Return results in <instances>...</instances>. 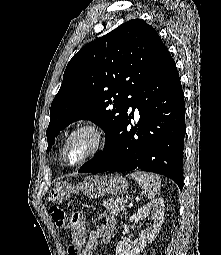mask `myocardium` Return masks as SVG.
Listing matches in <instances>:
<instances>
[{"mask_svg": "<svg viewBox=\"0 0 221 255\" xmlns=\"http://www.w3.org/2000/svg\"><path fill=\"white\" fill-rule=\"evenodd\" d=\"M83 132H87V133L91 134V136L93 138L92 147L89 150V152L82 159H80L79 161H77L75 163H70L66 160V156H65L67 145H68L69 141L74 136H76L80 133H83ZM104 139H105L104 130H103L102 126L96 122H86V123H83V124L77 126L67 135V137L65 138V140L63 142L62 149H61V157H62L63 162L66 165L72 166V167H76V166H80V165L84 164L86 161H88L90 158H92L99 152V150L101 149V147L104 143Z\"/></svg>", "mask_w": 221, "mask_h": 255, "instance_id": "f54148a6", "label": "myocardium"}]
</instances>
